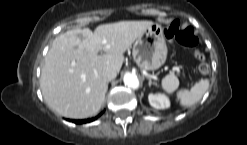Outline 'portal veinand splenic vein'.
I'll return each mask as SVG.
<instances>
[{"label":"portal vein and splenic vein","mask_w":247,"mask_h":145,"mask_svg":"<svg viewBox=\"0 0 247 145\" xmlns=\"http://www.w3.org/2000/svg\"><path fill=\"white\" fill-rule=\"evenodd\" d=\"M173 70H176V71H177V70H178V68H177V67H174V68H173Z\"/></svg>","instance_id":"18ae733b"}]
</instances>
